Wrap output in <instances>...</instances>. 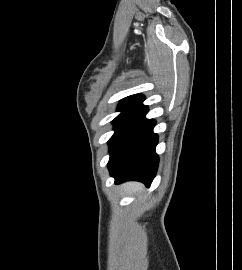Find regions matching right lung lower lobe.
<instances>
[{"label": "right lung lower lobe", "instance_id": "obj_1", "mask_svg": "<svg viewBox=\"0 0 242 270\" xmlns=\"http://www.w3.org/2000/svg\"><path fill=\"white\" fill-rule=\"evenodd\" d=\"M147 112V106L138 107L110 146L108 168L116 183L137 180L150 186L155 177L158 137L153 133L155 120L145 118Z\"/></svg>", "mask_w": 242, "mask_h": 270}]
</instances>
